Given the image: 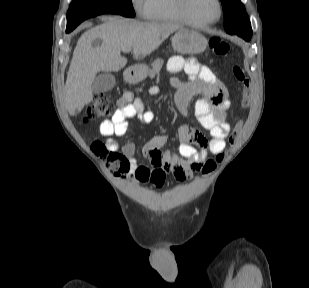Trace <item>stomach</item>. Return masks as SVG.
I'll use <instances>...</instances> for the list:
<instances>
[{
    "label": "stomach",
    "mask_w": 309,
    "mask_h": 288,
    "mask_svg": "<svg viewBox=\"0 0 309 288\" xmlns=\"http://www.w3.org/2000/svg\"><path fill=\"white\" fill-rule=\"evenodd\" d=\"M173 49L180 54H198L207 47L206 38L199 32L180 28L171 39ZM148 67L146 65H137L131 72L125 73V81L129 83H138L146 78Z\"/></svg>",
    "instance_id": "obj_1"
}]
</instances>
